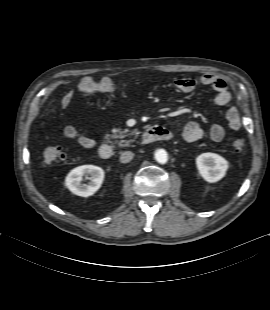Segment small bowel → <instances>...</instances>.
Wrapping results in <instances>:
<instances>
[{
    "instance_id": "small-bowel-1",
    "label": "small bowel",
    "mask_w": 270,
    "mask_h": 310,
    "mask_svg": "<svg viewBox=\"0 0 270 310\" xmlns=\"http://www.w3.org/2000/svg\"><path fill=\"white\" fill-rule=\"evenodd\" d=\"M87 83H96V80L91 76L81 78V80L78 83L79 90L81 86ZM198 84L203 86H210L217 92V94L214 97V103L216 105L227 106L232 102L233 98L232 93L229 91L226 82L222 78L212 73H206L202 75L199 81L193 78H178L173 82L174 88L183 93L193 92L197 88ZM95 90L105 91L99 88H96ZM118 90L121 91L122 88L119 87ZM73 97H74L73 89L66 91L60 101L61 107L67 108L70 105ZM225 118L227 120L228 127L231 130L237 131L242 127L241 116L236 107L234 106L228 107L225 112ZM63 135L67 139L74 140L84 148H93L96 145V142L93 139L81 133L74 126H66L63 129ZM203 136H204V130L199 124V122L195 120L189 121L182 131V138L187 143H193L195 141H198L202 139ZM209 137L214 142H219L223 140V138L225 137L224 127L220 124H213L209 129Z\"/></svg>"
}]
</instances>
